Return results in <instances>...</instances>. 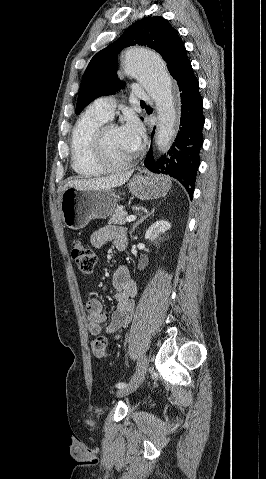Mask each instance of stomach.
I'll list each match as a JSON object with an SVG mask.
<instances>
[{
  "label": "stomach",
  "mask_w": 266,
  "mask_h": 479,
  "mask_svg": "<svg viewBox=\"0 0 266 479\" xmlns=\"http://www.w3.org/2000/svg\"><path fill=\"white\" fill-rule=\"evenodd\" d=\"M128 186L133 195L146 200L165 196L171 182L166 177L147 174L134 176ZM117 200L118 196L113 189L67 188L62 192L60 203L63 223L70 229H82L92 219H105L112 215Z\"/></svg>",
  "instance_id": "stomach-1"
}]
</instances>
